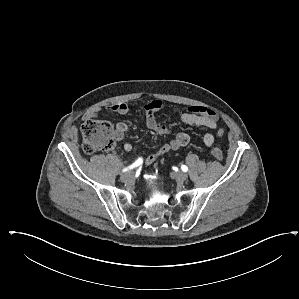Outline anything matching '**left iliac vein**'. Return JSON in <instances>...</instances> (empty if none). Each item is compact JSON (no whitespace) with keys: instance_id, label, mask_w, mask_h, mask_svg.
Instances as JSON below:
<instances>
[{"instance_id":"1","label":"left iliac vein","mask_w":299,"mask_h":299,"mask_svg":"<svg viewBox=\"0 0 299 299\" xmlns=\"http://www.w3.org/2000/svg\"><path fill=\"white\" fill-rule=\"evenodd\" d=\"M175 177H176L177 181L184 182V181L187 180L188 175L186 173H184V172H177L175 174Z\"/></svg>"}]
</instances>
